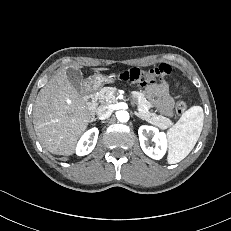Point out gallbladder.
Listing matches in <instances>:
<instances>
[{
  "instance_id": "gallbladder-1",
  "label": "gallbladder",
  "mask_w": 231,
  "mask_h": 231,
  "mask_svg": "<svg viewBox=\"0 0 231 231\" xmlns=\"http://www.w3.org/2000/svg\"><path fill=\"white\" fill-rule=\"evenodd\" d=\"M67 78L75 88L76 91L80 92L82 89L83 83V74L79 69L68 68L67 69Z\"/></svg>"
}]
</instances>
